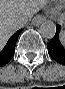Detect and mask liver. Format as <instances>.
I'll use <instances>...</instances> for the list:
<instances>
[{
  "mask_svg": "<svg viewBox=\"0 0 65 89\" xmlns=\"http://www.w3.org/2000/svg\"><path fill=\"white\" fill-rule=\"evenodd\" d=\"M44 4L38 0H0V43L4 44L19 28L20 18H31Z\"/></svg>",
  "mask_w": 65,
  "mask_h": 89,
  "instance_id": "liver-1",
  "label": "liver"
}]
</instances>
